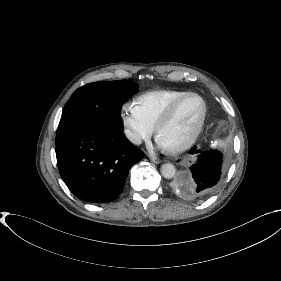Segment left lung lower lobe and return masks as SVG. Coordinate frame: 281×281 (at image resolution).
Instances as JSON below:
<instances>
[{"label":"left lung lower lobe","mask_w":281,"mask_h":281,"mask_svg":"<svg viewBox=\"0 0 281 281\" xmlns=\"http://www.w3.org/2000/svg\"><path fill=\"white\" fill-rule=\"evenodd\" d=\"M191 154L199 153L196 163L191 167V177L185 182L184 190L192 200H201L209 197L219 187L222 177V156L217 150H208L201 153L196 146Z\"/></svg>","instance_id":"0a47b994"}]
</instances>
